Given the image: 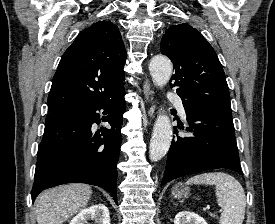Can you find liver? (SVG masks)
Segmentation results:
<instances>
[{"label": "liver", "mask_w": 275, "mask_h": 224, "mask_svg": "<svg viewBox=\"0 0 275 224\" xmlns=\"http://www.w3.org/2000/svg\"><path fill=\"white\" fill-rule=\"evenodd\" d=\"M92 194L89 185L72 183L42 192L35 201L38 224H62L84 208Z\"/></svg>", "instance_id": "1"}]
</instances>
